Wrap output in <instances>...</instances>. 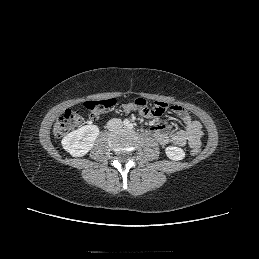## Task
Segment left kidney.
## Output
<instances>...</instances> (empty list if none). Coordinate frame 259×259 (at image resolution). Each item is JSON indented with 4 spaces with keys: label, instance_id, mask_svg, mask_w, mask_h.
Wrapping results in <instances>:
<instances>
[{
    "label": "left kidney",
    "instance_id": "left-kidney-1",
    "mask_svg": "<svg viewBox=\"0 0 259 259\" xmlns=\"http://www.w3.org/2000/svg\"><path fill=\"white\" fill-rule=\"evenodd\" d=\"M165 153L169 159L174 161L182 160L185 157L183 149L176 146H168L165 149Z\"/></svg>",
    "mask_w": 259,
    "mask_h": 259
}]
</instances>
